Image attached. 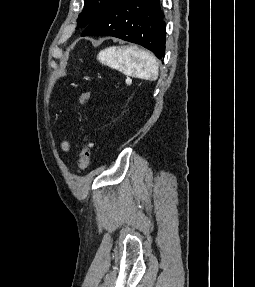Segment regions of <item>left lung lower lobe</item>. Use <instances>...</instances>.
Returning <instances> with one entry per match:
<instances>
[{"mask_svg":"<svg viewBox=\"0 0 255 287\" xmlns=\"http://www.w3.org/2000/svg\"><path fill=\"white\" fill-rule=\"evenodd\" d=\"M166 27L159 0H113L81 36H114L140 44L159 59L165 53Z\"/></svg>","mask_w":255,"mask_h":287,"instance_id":"0a47b994","label":"left lung lower lobe"}]
</instances>
